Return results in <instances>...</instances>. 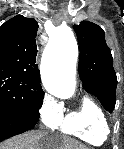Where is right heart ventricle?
I'll return each instance as SVG.
<instances>
[{"mask_svg": "<svg viewBox=\"0 0 124 149\" xmlns=\"http://www.w3.org/2000/svg\"><path fill=\"white\" fill-rule=\"evenodd\" d=\"M57 128L65 135L94 146L104 144L110 133L104 110L89 97L84 98L78 108L63 116Z\"/></svg>", "mask_w": 124, "mask_h": 149, "instance_id": "1", "label": "right heart ventricle"}]
</instances>
